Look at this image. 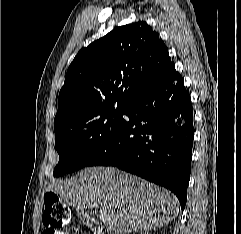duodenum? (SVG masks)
<instances>
[{
    "instance_id": "duodenum-1",
    "label": "duodenum",
    "mask_w": 241,
    "mask_h": 234,
    "mask_svg": "<svg viewBox=\"0 0 241 234\" xmlns=\"http://www.w3.org/2000/svg\"><path fill=\"white\" fill-rule=\"evenodd\" d=\"M93 234H103L99 228L93 229Z\"/></svg>"
}]
</instances>
